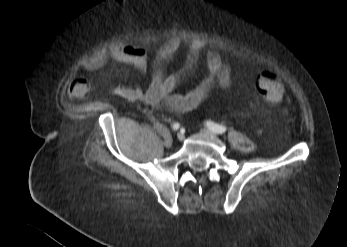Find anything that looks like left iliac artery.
<instances>
[{"mask_svg":"<svg viewBox=\"0 0 347 247\" xmlns=\"http://www.w3.org/2000/svg\"><path fill=\"white\" fill-rule=\"evenodd\" d=\"M206 126L211 131H213L214 133H217V134H222V133H224L227 130V128L225 126L216 124V123L211 122V121L206 122Z\"/></svg>","mask_w":347,"mask_h":247,"instance_id":"obj_1","label":"left iliac artery"}]
</instances>
